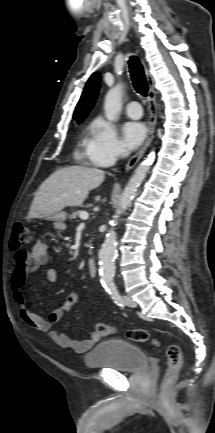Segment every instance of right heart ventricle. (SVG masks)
<instances>
[{
  "label": "right heart ventricle",
  "instance_id": "e07e8e85",
  "mask_svg": "<svg viewBox=\"0 0 215 433\" xmlns=\"http://www.w3.org/2000/svg\"><path fill=\"white\" fill-rule=\"evenodd\" d=\"M88 141H89L88 139H84V140H83V146H84L85 148H86V146H87V144H88Z\"/></svg>",
  "mask_w": 215,
  "mask_h": 433
}]
</instances>
